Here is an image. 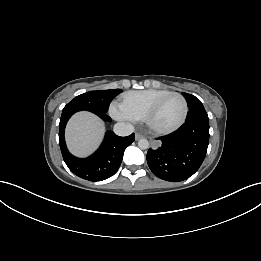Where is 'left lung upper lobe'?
<instances>
[{"mask_svg": "<svg viewBox=\"0 0 261 261\" xmlns=\"http://www.w3.org/2000/svg\"><path fill=\"white\" fill-rule=\"evenodd\" d=\"M189 107V112L186 121L198 118V117H208L201 101L188 93H183Z\"/></svg>", "mask_w": 261, "mask_h": 261, "instance_id": "1", "label": "left lung upper lobe"}]
</instances>
